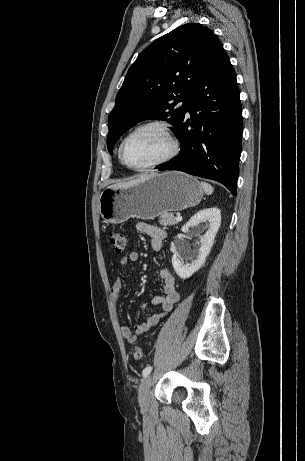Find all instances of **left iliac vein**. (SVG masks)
Here are the masks:
<instances>
[{
	"label": "left iliac vein",
	"instance_id": "obj_1",
	"mask_svg": "<svg viewBox=\"0 0 305 461\" xmlns=\"http://www.w3.org/2000/svg\"><path fill=\"white\" fill-rule=\"evenodd\" d=\"M151 376H146L140 383L138 390V402L139 405L145 408L149 402V390L151 386Z\"/></svg>",
	"mask_w": 305,
	"mask_h": 461
}]
</instances>
